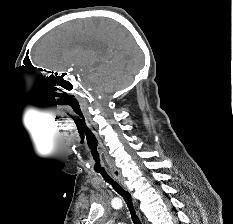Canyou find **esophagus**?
<instances>
[{
    "label": "esophagus",
    "instance_id": "34e87169",
    "mask_svg": "<svg viewBox=\"0 0 233 224\" xmlns=\"http://www.w3.org/2000/svg\"><path fill=\"white\" fill-rule=\"evenodd\" d=\"M111 176L114 180H116L119 184H121L124 188H126L125 182L119 170L111 171ZM146 224V220H145Z\"/></svg>",
    "mask_w": 233,
    "mask_h": 224
}]
</instances>
